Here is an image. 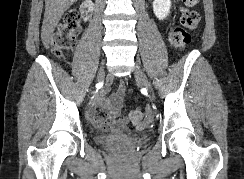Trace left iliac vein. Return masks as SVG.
Instances as JSON below:
<instances>
[{
	"instance_id": "left-iliac-vein-1",
	"label": "left iliac vein",
	"mask_w": 244,
	"mask_h": 179,
	"mask_svg": "<svg viewBox=\"0 0 244 179\" xmlns=\"http://www.w3.org/2000/svg\"><path fill=\"white\" fill-rule=\"evenodd\" d=\"M134 74H135V78L139 82H141L143 86L147 87L148 90L150 91V84H149L148 80L146 79L144 72L142 71V69L139 67L138 64L135 65ZM149 93L151 94V92H149Z\"/></svg>"
}]
</instances>
